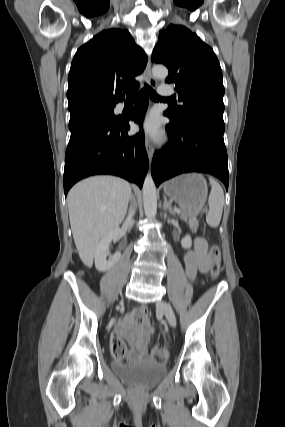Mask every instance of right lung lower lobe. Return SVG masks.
<instances>
[{
    "label": "right lung lower lobe",
    "instance_id": "1",
    "mask_svg": "<svg viewBox=\"0 0 285 427\" xmlns=\"http://www.w3.org/2000/svg\"><path fill=\"white\" fill-rule=\"evenodd\" d=\"M148 105L144 91L130 115L108 120L90 117L75 124L65 154L64 193L77 181L92 175L111 174L142 188L148 168L142 131L129 137V120L141 125Z\"/></svg>",
    "mask_w": 285,
    "mask_h": 427
}]
</instances>
